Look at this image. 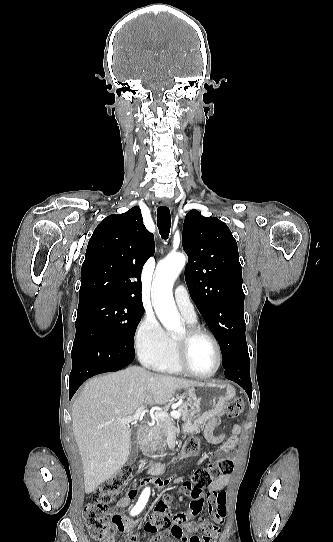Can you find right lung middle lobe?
Listing matches in <instances>:
<instances>
[{
  "label": "right lung middle lobe",
  "mask_w": 333,
  "mask_h": 542,
  "mask_svg": "<svg viewBox=\"0 0 333 542\" xmlns=\"http://www.w3.org/2000/svg\"><path fill=\"white\" fill-rule=\"evenodd\" d=\"M143 314L140 305L92 298L78 305L76 324L83 320L98 324L120 345L135 353L133 339Z\"/></svg>",
  "instance_id": "dd1d6c3e"
}]
</instances>
